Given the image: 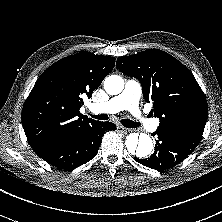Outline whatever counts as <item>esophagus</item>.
<instances>
[{
  "label": "esophagus",
  "instance_id": "34e87169",
  "mask_svg": "<svg viewBox=\"0 0 222 222\" xmlns=\"http://www.w3.org/2000/svg\"><path fill=\"white\" fill-rule=\"evenodd\" d=\"M117 130H118V132H121L124 134H128V133L132 132L131 129L125 128L123 126H117Z\"/></svg>",
  "mask_w": 222,
  "mask_h": 222
}]
</instances>
